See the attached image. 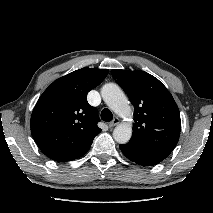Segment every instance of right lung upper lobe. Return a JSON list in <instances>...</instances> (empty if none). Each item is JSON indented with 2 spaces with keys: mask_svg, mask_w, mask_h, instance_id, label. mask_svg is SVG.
Listing matches in <instances>:
<instances>
[{
  "mask_svg": "<svg viewBox=\"0 0 213 213\" xmlns=\"http://www.w3.org/2000/svg\"><path fill=\"white\" fill-rule=\"evenodd\" d=\"M107 69L82 68L55 80L41 95L31 116V134L42 153L53 159L80 153L100 133L97 109L87 94Z\"/></svg>",
  "mask_w": 213,
  "mask_h": 213,
  "instance_id": "right-lung-upper-lobe-1",
  "label": "right lung upper lobe"
}]
</instances>
